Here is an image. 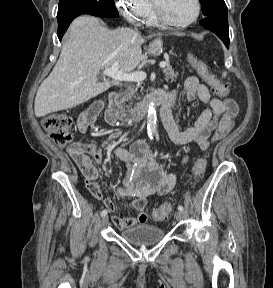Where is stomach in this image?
I'll return each mask as SVG.
<instances>
[{"mask_svg": "<svg viewBox=\"0 0 273 288\" xmlns=\"http://www.w3.org/2000/svg\"><path fill=\"white\" fill-rule=\"evenodd\" d=\"M162 39L161 37H158L152 41V43L149 45V53L152 55H159L162 51Z\"/></svg>", "mask_w": 273, "mask_h": 288, "instance_id": "1", "label": "stomach"}]
</instances>
